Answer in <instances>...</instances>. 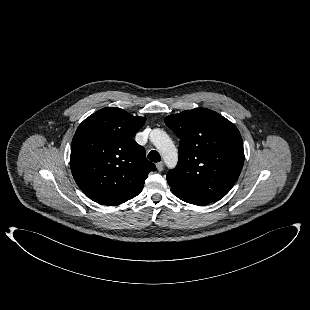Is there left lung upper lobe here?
Here are the masks:
<instances>
[{
    "label": "left lung upper lobe",
    "instance_id": "5c2ea615",
    "mask_svg": "<svg viewBox=\"0 0 310 310\" xmlns=\"http://www.w3.org/2000/svg\"><path fill=\"white\" fill-rule=\"evenodd\" d=\"M164 122L180 138L178 164L167 174L172 191L209 202L224 197L244 164L236 126L206 108L169 115Z\"/></svg>",
    "mask_w": 310,
    "mask_h": 310
}]
</instances>
